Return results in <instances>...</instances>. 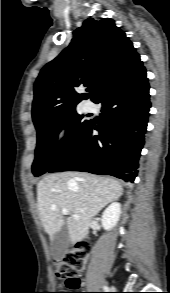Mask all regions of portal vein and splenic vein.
Returning <instances> with one entry per match:
<instances>
[{
    "label": "portal vein and splenic vein",
    "mask_w": 170,
    "mask_h": 293,
    "mask_svg": "<svg viewBox=\"0 0 170 293\" xmlns=\"http://www.w3.org/2000/svg\"><path fill=\"white\" fill-rule=\"evenodd\" d=\"M62 213H63V215H68L69 214V211L66 208H63L62 209ZM73 217L76 218V219L78 218L77 215H73Z\"/></svg>",
    "instance_id": "obj_1"
}]
</instances>
